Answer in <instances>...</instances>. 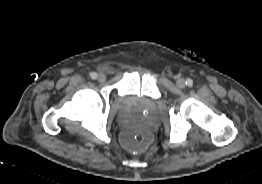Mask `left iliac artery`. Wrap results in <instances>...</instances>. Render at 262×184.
<instances>
[{
  "instance_id": "obj_1",
  "label": "left iliac artery",
  "mask_w": 262,
  "mask_h": 184,
  "mask_svg": "<svg viewBox=\"0 0 262 184\" xmlns=\"http://www.w3.org/2000/svg\"><path fill=\"white\" fill-rule=\"evenodd\" d=\"M186 84H187L188 86H192L193 81H192L191 79H187V80H186Z\"/></svg>"
}]
</instances>
